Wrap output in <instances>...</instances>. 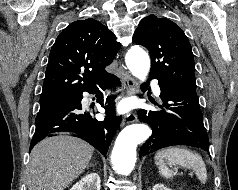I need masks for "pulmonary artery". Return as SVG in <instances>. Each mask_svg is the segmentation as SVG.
I'll list each match as a JSON object with an SVG mask.
<instances>
[{"instance_id": "e3ab8cb5", "label": "pulmonary artery", "mask_w": 238, "mask_h": 190, "mask_svg": "<svg viewBox=\"0 0 238 190\" xmlns=\"http://www.w3.org/2000/svg\"><path fill=\"white\" fill-rule=\"evenodd\" d=\"M153 90H154V94H155L156 96H159V95H160L161 91H160V88H159V86H158L157 84H154Z\"/></svg>"}]
</instances>
